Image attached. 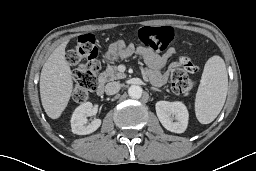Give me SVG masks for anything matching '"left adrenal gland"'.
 I'll return each instance as SVG.
<instances>
[{"label": "left adrenal gland", "mask_w": 256, "mask_h": 171, "mask_svg": "<svg viewBox=\"0 0 256 171\" xmlns=\"http://www.w3.org/2000/svg\"><path fill=\"white\" fill-rule=\"evenodd\" d=\"M151 90H154V91H159V92H161V90H160V89H158V88H156V87H151Z\"/></svg>", "instance_id": "obj_1"}]
</instances>
